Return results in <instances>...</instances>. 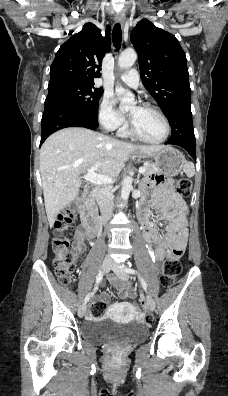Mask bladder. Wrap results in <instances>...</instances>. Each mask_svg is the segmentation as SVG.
<instances>
[{
  "instance_id": "bladder-1",
  "label": "bladder",
  "mask_w": 228,
  "mask_h": 396,
  "mask_svg": "<svg viewBox=\"0 0 228 396\" xmlns=\"http://www.w3.org/2000/svg\"><path fill=\"white\" fill-rule=\"evenodd\" d=\"M147 332V328L140 322L121 324L96 318L87 320L81 328L84 340L99 345L140 342L146 339Z\"/></svg>"
}]
</instances>
